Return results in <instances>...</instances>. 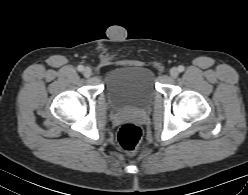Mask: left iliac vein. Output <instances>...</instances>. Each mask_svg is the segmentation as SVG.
<instances>
[{
	"label": "left iliac vein",
	"mask_w": 248,
	"mask_h": 195,
	"mask_svg": "<svg viewBox=\"0 0 248 195\" xmlns=\"http://www.w3.org/2000/svg\"><path fill=\"white\" fill-rule=\"evenodd\" d=\"M179 75V70L176 67L170 69V76L176 78Z\"/></svg>",
	"instance_id": "4c4485c4"
}]
</instances>
